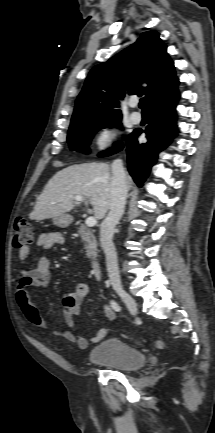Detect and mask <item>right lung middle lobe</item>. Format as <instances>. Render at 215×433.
<instances>
[{
    "label": "right lung middle lobe",
    "instance_id": "1",
    "mask_svg": "<svg viewBox=\"0 0 215 433\" xmlns=\"http://www.w3.org/2000/svg\"><path fill=\"white\" fill-rule=\"evenodd\" d=\"M121 117L102 119L92 122L78 123L70 125L67 141L71 150L88 153V145L94 134L101 128L120 127ZM123 147L122 143H117L107 151L102 152L99 156H109L116 153Z\"/></svg>",
    "mask_w": 215,
    "mask_h": 433
}]
</instances>
